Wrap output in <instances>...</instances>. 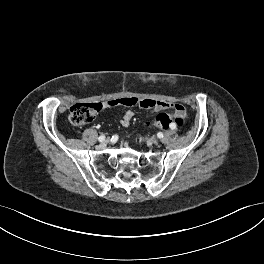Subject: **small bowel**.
Returning <instances> with one entry per match:
<instances>
[{"label":"small bowel","instance_id":"c3829d8e","mask_svg":"<svg viewBox=\"0 0 264 264\" xmlns=\"http://www.w3.org/2000/svg\"><path fill=\"white\" fill-rule=\"evenodd\" d=\"M131 98L134 102L131 106L138 105L139 107L146 109L152 113L154 112H159L162 110L166 109H173L175 112L182 107L180 104H173V103H168L164 101H157V100H152V99H137L134 97H129ZM104 107L110 106L108 102L103 103ZM134 113L132 110L128 109L124 112L120 123L123 127H128L131 120L133 119Z\"/></svg>","mask_w":264,"mask_h":264}]
</instances>
